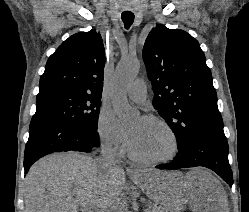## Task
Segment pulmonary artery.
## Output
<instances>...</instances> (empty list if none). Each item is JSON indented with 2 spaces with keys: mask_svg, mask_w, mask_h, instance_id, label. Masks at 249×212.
<instances>
[{
  "mask_svg": "<svg viewBox=\"0 0 249 212\" xmlns=\"http://www.w3.org/2000/svg\"><path fill=\"white\" fill-rule=\"evenodd\" d=\"M128 96L137 103H142L147 96V86L143 79H136L128 88Z\"/></svg>",
  "mask_w": 249,
  "mask_h": 212,
  "instance_id": "obj_1",
  "label": "pulmonary artery"
}]
</instances>
